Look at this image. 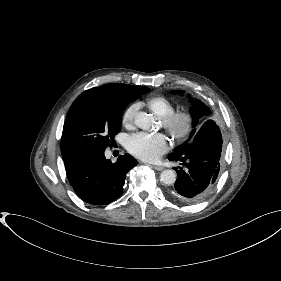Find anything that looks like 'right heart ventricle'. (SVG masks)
Listing matches in <instances>:
<instances>
[{"label":"right heart ventricle","mask_w":281,"mask_h":281,"mask_svg":"<svg viewBox=\"0 0 281 281\" xmlns=\"http://www.w3.org/2000/svg\"><path fill=\"white\" fill-rule=\"evenodd\" d=\"M145 105L158 117H163L174 111V103L167 97L155 95L145 101Z\"/></svg>","instance_id":"right-heart-ventricle-1"}]
</instances>
